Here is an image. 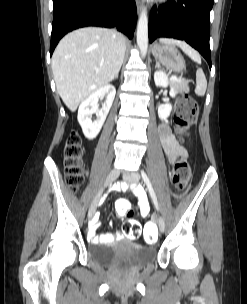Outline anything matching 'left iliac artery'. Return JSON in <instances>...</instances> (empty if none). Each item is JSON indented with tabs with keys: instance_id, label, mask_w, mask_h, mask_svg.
Segmentation results:
<instances>
[{
	"instance_id": "obj_1",
	"label": "left iliac artery",
	"mask_w": 247,
	"mask_h": 304,
	"mask_svg": "<svg viewBox=\"0 0 247 304\" xmlns=\"http://www.w3.org/2000/svg\"><path fill=\"white\" fill-rule=\"evenodd\" d=\"M141 176H142V179H143L144 183L146 184V186L148 188L149 194H150V196L152 198V201H153L156 209L159 210V205H158L157 197L155 195V192L153 190L151 182H150L147 174L144 172V170H141Z\"/></svg>"
}]
</instances>
